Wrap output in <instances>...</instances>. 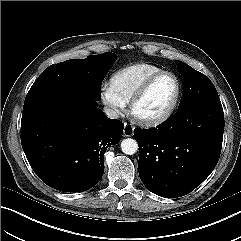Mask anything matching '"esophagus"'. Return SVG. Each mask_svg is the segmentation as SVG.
I'll return each mask as SVG.
<instances>
[{
    "label": "esophagus",
    "instance_id": "esophagus-1",
    "mask_svg": "<svg viewBox=\"0 0 241 241\" xmlns=\"http://www.w3.org/2000/svg\"><path fill=\"white\" fill-rule=\"evenodd\" d=\"M134 128L127 123L124 124L123 135L125 137H131L133 135Z\"/></svg>",
    "mask_w": 241,
    "mask_h": 241
}]
</instances>
